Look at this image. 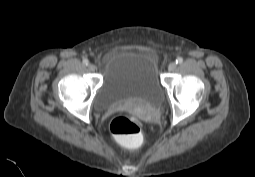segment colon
Listing matches in <instances>:
<instances>
[{"mask_svg":"<svg viewBox=\"0 0 255 177\" xmlns=\"http://www.w3.org/2000/svg\"><path fill=\"white\" fill-rule=\"evenodd\" d=\"M110 132L129 148H137L142 142L139 124L127 116L114 117L110 123Z\"/></svg>","mask_w":255,"mask_h":177,"instance_id":"5ec220e1","label":"colon"}]
</instances>
